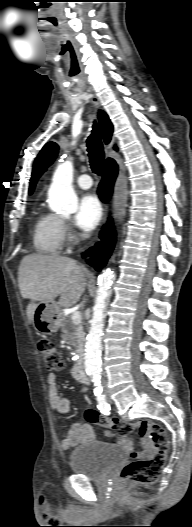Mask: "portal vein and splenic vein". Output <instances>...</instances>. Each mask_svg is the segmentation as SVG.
Wrapping results in <instances>:
<instances>
[{
  "label": "portal vein and splenic vein",
  "instance_id": "portal-vein-and-splenic-vein-1",
  "mask_svg": "<svg viewBox=\"0 0 192 527\" xmlns=\"http://www.w3.org/2000/svg\"><path fill=\"white\" fill-rule=\"evenodd\" d=\"M71 320L74 324H79L81 322V313L79 311H75L71 315Z\"/></svg>",
  "mask_w": 192,
  "mask_h": 527
}]
</instances>
